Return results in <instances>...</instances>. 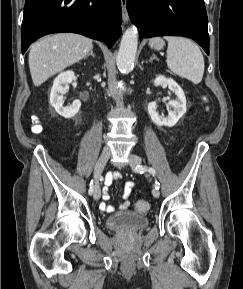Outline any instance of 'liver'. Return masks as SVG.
I'll return each instance as SVG.
<instances>
[{
    "mask_svg": "<svg viewBox=\"0 0 243 289\" xmlns=\"http://www.w3.org/2000/svg\"><path fill=\"white\" fill-rule=\"evenodd\" d=\"M93 48L92 40L74 33L47 36L31 46L29 68L36 87L65 68L79 62Z\"/></svg>",
    "mask_w": 243,
    "mask_h": 289,
    "instance_id": "obj_1",
    "label": "liver"
}]
</instances>
